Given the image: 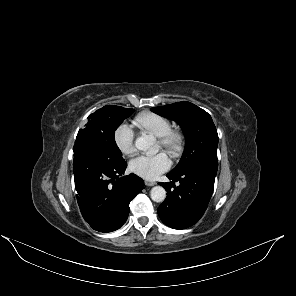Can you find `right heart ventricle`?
<instances>
[{"label": "right heart ventricle", "instance_id": "e07e8e85", "mask_svg": "<svg viewBox=\"0 0 296 296\" xmlns=\"http://www.w3.org/2000/svg\"><path fill=\"white\" fill-rule=\"evenodd\" d=\"M133 123L143 132L156 138L165 135L172 127L168 118L154 112H142L136 116Z\"/></svg>", "mask_w": 296, "mask_h": 296}]
</instances>
